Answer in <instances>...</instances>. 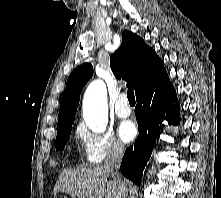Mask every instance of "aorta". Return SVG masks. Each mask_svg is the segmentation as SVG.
Listing matches in <instances>:
<instances>
[{
    "label": "aorta",
    "mask_w": 221,
    "mask_h": 198,
    "mask_svg": "<svg viewBox=\"0 0 221 198\" xmlns=\"http://www.w3.org/2000/svg\"><path fill=\"white\" fill-rule=\"evenodd\" d=\"M83 118L90 130L105 131L108 123L107 90L102 80H94L87 87L83 99Z\"/></svg>",
    "instance_id": "obj_1"
}]
</instances>
